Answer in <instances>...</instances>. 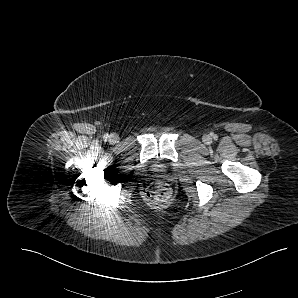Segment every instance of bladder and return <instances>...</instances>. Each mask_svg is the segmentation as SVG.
I'll list each match as a JSON object with an SVG mask.
<instances>
[{
	"mask_svg": "<svg viewBox=\"0 0 298 298\" xmlns=\"http://www.w3.org/2000/svg\"><path fill=\"white\" fill-rule=\"evenodd\" d=\"M165 170H166V168L161 164H156L153 166V171H155L157 173L165 172Z\"/></svg>",
	"mask_w": 298,
	"mask_h": 298,
	"instance_id": "bladder-1",
	"label": "bladder"
}]
</instances>
